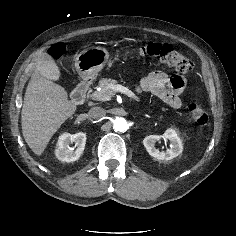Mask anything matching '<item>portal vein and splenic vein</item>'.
Returning <instances> with one entry per match:
<instances>
[{
	"instance_id": "portal-vein-and-splenic-vein-1",
	"label": "portal vein and splenic vein",
	"mask_w": 236,
	"mask_h": 236,
	"mask_svg": "<svg viewBox=\"0 0 236 236\" xmlns=\"http://www.w3.org/2000/svg\"><path fill=\"white\" fill-rule=\"evenodd\" d=\"M110 88L115 92H121V93L126 94L127 96H129L131 98L136 99V95L131 90H129L127 87H124L120 84L113 85ZM103 99L105 101H108V100L111 99V97L110 96H104Z\"/></svg>"
}]
</instances>
